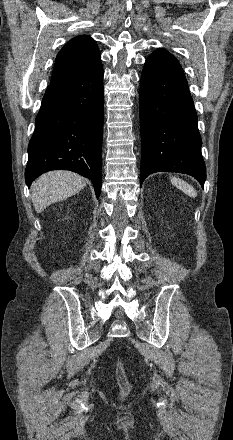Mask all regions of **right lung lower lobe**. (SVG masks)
<instances>
[{"label": "right lung lower lobe", "instance_id": "1", "mask_svg": "<svg viewBox=\"0 0 233 440\" xmlns=\"http://www.w3.org/2000/svg\"><path fill=\"white\" fill-rule=\"evenodd\" d=\"M103 67L69 81L51 83L45 92L28 145L25 181L41 174L71 170L101 190Z\"/></svg>", "mask_w": 233, "mask_h": 440}]
</instances>
